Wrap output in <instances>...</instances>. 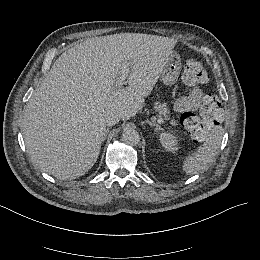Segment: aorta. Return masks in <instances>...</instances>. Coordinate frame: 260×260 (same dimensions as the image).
<instances>
[{"mask_svg":"<svg viewBox=\"0 0 260 260\" xmlns=\"http://www.w3.org/2000/svg\"><path fill=\"white\" fill-rule=\"evenodd\" d=\"M122 141L129 145H137L140 142V135L133 127H126L122 133Z\"/></svg>","mask_w":260,"mask_h":260,"instance_id":"1","label":"aorta"}]
</instances>
